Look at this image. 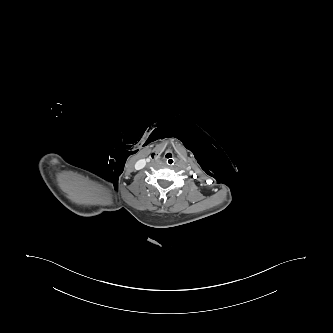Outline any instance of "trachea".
<instances>
[{"instance_id": "obj_1", "label": "trachea", "mask_w": 333, "mask_h": 333, "mask_svg": "<svg viewBox=\"0 0 333 333\" xmlns=\"http://www.w3.org/2000/svg\"><path fill=\"white\" fill-rule=\"evenodd\" d=\"M164 162H165V164L168 165V166H173V165H175L176 162H177V157H176V155L173 154V153H167V154H165V156H164Z\"/></svg>"}]
</instances>
